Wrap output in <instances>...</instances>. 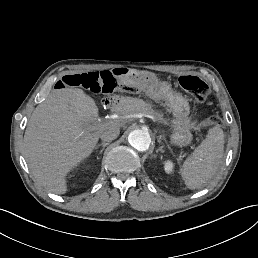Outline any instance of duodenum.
<instances>
[{
	"label": "duodenum",
	"instance_id": "410a0bca",
	"mask_svg": "<svg viewBox=\"0 0 258 258\" xmlns=\"http://www.w3.org/2000/svg\"><path fill=\"white\" fill-rule=\"evenodd\" d=\"M112 73L116 79L122 82L131 81L138 75L135 69L125 66L114 68Z\"/></svg>",
	"mask_w": 258,
	"mask_h": 258
}]
</instances>
